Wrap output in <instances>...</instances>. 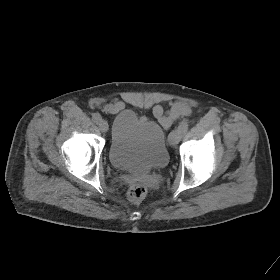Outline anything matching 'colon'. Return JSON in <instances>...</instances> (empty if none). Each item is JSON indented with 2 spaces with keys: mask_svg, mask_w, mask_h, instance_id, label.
<instances>
[{
  "mask_svg": "<svg viewBox=\"0 0 280 280\" xmlns=\"http://www.w3.org/2000/svg\"><path fill=\"white\" fill-rule=\"evenodd\" d=\"M146 194L147 188L141 183H135L129 188L127 198L133 203H138L145 198Z\"/></svg>",
  "mask_w": 280,
  "mask_h": 280,
  "instance_id": "obj_1",
  "label": "colon"
}]
</instances>
